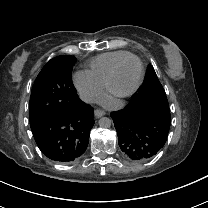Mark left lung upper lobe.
Listing matches in <instances>:
<instances>
[{
	"label": "left lung upper lobe",
	"mask_w": 208,
	"mask_h": 208,
	"mask_svg": "<svg viewBox=\"0 0 208 208\" xmlns=\"http://www.w3.org/2000/svg\"><path fill=\"white\" fill-rule=\"evenodd\" d=\"M131 102L155 105L169 111L165 90L159 82L152 65L148 67L144 86L132 95Z\"/></svg>",
	"instance_id": "5c2ea615"
}]
</instances>
